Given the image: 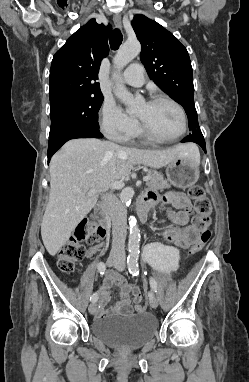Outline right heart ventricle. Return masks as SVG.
I'll use <instances>...</instances> for the list:
<instances>
[{
    "instance_id": "right-heart-ventricle-1",
    "label": "right heart ventricle",
    "mask_w": 249,
    "mask_h": 382,
    "mask_svg": "<svg viewBox=\"0 0 249 382\" xmlns=\"http://www.w3.org/2000/svg\"><path fill=\"white\" fill-rule=\"evenodd\" d=\"M136 136H140V133H139V131H137V133H136L135 137H136Z\"/></svg>"
}]
</instances>
